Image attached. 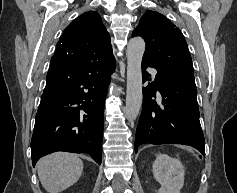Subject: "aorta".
I'll return each instance as SVG.
<instances>
[{"label": "aorta", "mask_w": 237, "mask_h": 193, "mask_svg": "<svg viewBox=\"0 0 237 193\" xmlns=\"http://www.w3.org/2000/svg\"><path fill=\"white\" fill-rule=\"evenodd\" d=\"M145 52V42L140 37L129 40L127 45V94L125 116L134 121L140 111L143 99L141 63Z\"/></svg>", "instance_id": "obj_1"}]
</instances>
